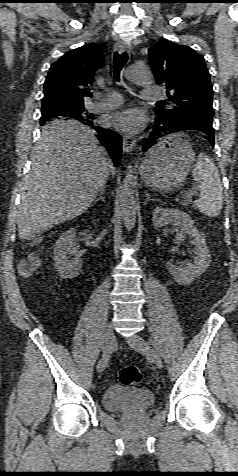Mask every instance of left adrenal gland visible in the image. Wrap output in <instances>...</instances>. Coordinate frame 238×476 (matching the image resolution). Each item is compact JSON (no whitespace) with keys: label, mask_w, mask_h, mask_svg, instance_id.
I'll return each instance as SVG.
<instances>
[{"label":"left adrenal gland","mask_w":238,"mask_h":476,"mask_svg":"<svg viewBox=\"0 0 238 476\" xmlns=\"http://www.w3.org/2000/svg\"><path fill=\"white\" fill-rule=\"evenodd\" d=\"M145 196H146V200L144 202L145 205L150 201H156L157 200V199L150 198V194L148 192H146Z\"/></svg>","instance_id":"1"}]
</instances>
